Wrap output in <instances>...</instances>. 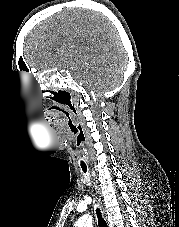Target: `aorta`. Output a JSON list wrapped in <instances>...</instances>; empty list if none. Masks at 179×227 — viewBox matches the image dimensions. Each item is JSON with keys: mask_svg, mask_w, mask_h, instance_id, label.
Returning a JSON list of instances; mask_svg holds the SVG:
<instances>
[{"mask_svg": "<svg viewBox=\"0 0 179 227\" xmlns=\"http://www.w3.org/2000/svg\"><path fill=\"white\" fill-rule=\"evenodd\" d=\"M74 227H93L92 216L86 214L81 216L75 223Z\"/></svg>", "mask_w": 179, "mask_h": 227, "instance_id": "aorta-1", "label": "aorta"}]
</instances>
